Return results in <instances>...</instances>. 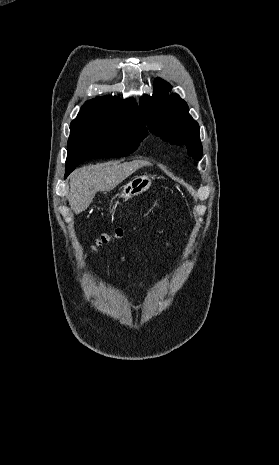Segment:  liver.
Returning a JSON list of instances; mask_svg holds the SVG:
<instances>
[{
  "instance_id": "6515ba94",
  "label": "liver",
  "mask_w": 279,
  "mask_h": 465,
  "mask_svg": "<svg viewBox=\"0 0 279 465\" xmlns=\"http://www.w3.org/2000/svg\"><path fill=\"white\" fill-rule=\"evenodd\" d=\"M150 165L144 160L122 164L108 162L84 166L74 171L70 177L68 193L71 209L75 214L85 211L93 202L98 191H111L136 170Z\"/></svg>"
}]
</instances>
